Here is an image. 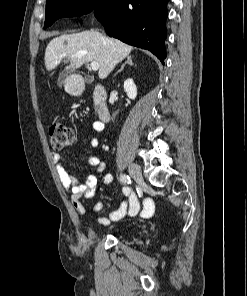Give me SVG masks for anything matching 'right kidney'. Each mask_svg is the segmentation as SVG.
Masks as SVG:
<instances>
[{
  "label": "right kidney",
  "mask_w": 247,
  "mask_h": 296,
  "mask_svg": "<svg viewBox=\"0 0 247 296\" xmlns=\"http://www.w3.org/2000/svg\"><path fill=\"white\" fill-rule=\"evenodd\" d=\"M124 90L130 99H135L137 96V88L132 79H127L124 82Z\"/></svg>",
  "instance_id": "right-kidney-1"
}]
</instances>
